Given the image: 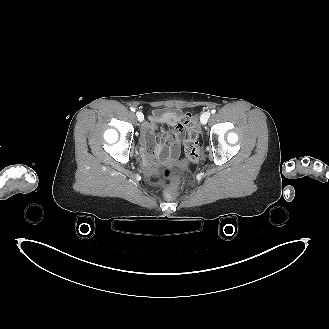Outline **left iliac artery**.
<instances>
[{
  "mask_svg": "<svg viewBox=\"0 0 329 329\" xmlns=\"http://www.w3.org/2000/svg\"><path fill=\"white\" fill-rule=\"evenodd\" d=\"M215 112H216V110H215V109L211 110V113H212V114H214Z\"/></svg>",
  "mask_w": 329,
  "mask_h": 329,
  "instance_id": "44dca946",
  "label": "left iliac artery"
}]
</instances>
